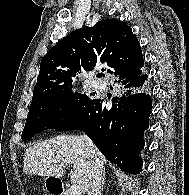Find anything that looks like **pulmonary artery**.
I'll return each instance as SVG.
<instances>
[{
  "mask_svg": "<svg viewBox=\"0 0 189 195\" xmlns=\"http://www.w3.org/2000/svg\"><path fill=\"white\" fill-rule=\"evenodd\" d=\"M92 86L99 90H105L107 85L101 81H93Z\"/></svg>",
  "mask_w": 189,
  "mask_h": 195,
  "instance_id": "pulmonary-artery-1",
  "label": "pulmonary artery"
}]
</instances>
